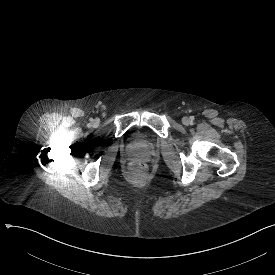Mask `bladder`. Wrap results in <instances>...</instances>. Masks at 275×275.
<instances>
[{
	"label": "bladder",
	"instance_id": "31cf9c89",
	"mask_svg": "<svg viewBox=\"0 0 275 275\" xmlns=\"http://www.w3.org/2000/svg\"><path fill=\"white\" fill-rule=\"evenodd\" d=\"M145 138H146V135L137 136L135 134H131L129 141L132 143H139L140 141L144 140Z\"/></svg>",
	"mask_w": 275,
	"mask_h": 275
}]
</instances>
